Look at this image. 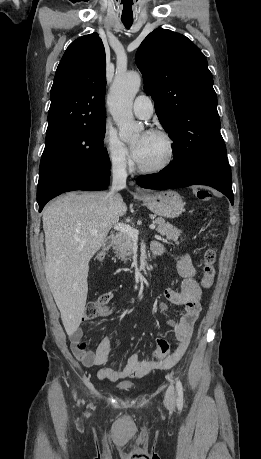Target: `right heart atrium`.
I'll list each match as a JSON object with an SVG mask.
<instances>
[{
  "label": "right heart atrium",
  "mask_w": 261,
  "mask_h": 459,
  "mask_svg": "<svg viewBox=\"0 0 261 459\" xmlns=\"http://www.w3.org/2000/svg\"><path fill=\"white\" fill-rule=\"evenodd\" d=\"M102 145L114 171L121 173L130 169L132 162L127 147L108 126L103 131Z\"/></svg>",
  "instance_id": "1"
}]
</instances>
